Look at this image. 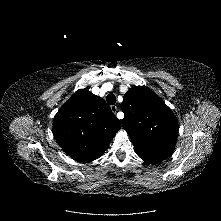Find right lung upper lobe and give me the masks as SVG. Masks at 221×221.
Wrapping results in <instances>:
<instances>
[{
	"label": "right lung upper lobe",
	"mask_w": 221,
	"mask_h": 221,
	"mask_svg": "<svg viewBox=\"0 0 221 221\" xmlns=\"http://www.w3.org/2000/svg\"><path fill=\"white\" fill-rule=\"evenodd\" d=\"M120 128V120L105 100L87 89L76 91L53 121L57 143L78 162L99 158Z\"/></svg>",
	"instance_id": "cb5924a9"
}]
</instances>
